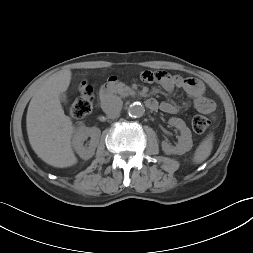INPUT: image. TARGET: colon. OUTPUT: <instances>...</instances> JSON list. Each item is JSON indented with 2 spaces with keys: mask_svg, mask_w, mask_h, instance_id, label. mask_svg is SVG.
I'll return each mask as SVG.
<instances>
[{
  "mask_svg": "<svg viewBox=\"0 0 253 253\" xmlns=\"http://www.w3.org/2000/svg\"><path fill=\"white\" fill-rule=\"evenodd\" d=\"M93 89L91 86H85L81 89V93L76 97L68 108V112L73 118H82L88 115L93 108ZM192 129L200 134L207 130L210 120L204 115H196L192 119Z\"/></svg>",
  "mask_w": 253,
  "mask_h": 253,
  "instance_id": "obj_1",
  "label": "colon"
}]
</instances>
